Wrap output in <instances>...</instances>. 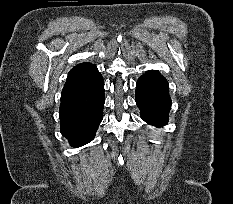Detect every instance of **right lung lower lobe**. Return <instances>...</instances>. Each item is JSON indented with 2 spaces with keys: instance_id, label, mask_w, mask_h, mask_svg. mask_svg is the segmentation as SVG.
<instances>
[{
  "instance_id": "right-lung-lower-lobe-1",
  "label": "right lung lower lobe",
  "mask_w": 233,
  "mask_h": 204,
  "mask_svg": "<svg viewBox=\"0 0 233 204\" xmlns=\"http://www.w3.org/2000/svg\"><path fill=\"white\" fill-rule=\"evenodd\" d=\"M104 81L98 69L66 81L61 93V133L71 146L90 142L103 118Z\"/></svg>"
}]
</instances>
